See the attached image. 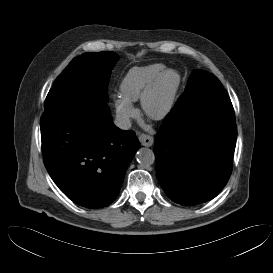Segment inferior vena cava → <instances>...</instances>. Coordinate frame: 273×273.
<instances>
[{"mask_svg": "<svg viewBox=\"0 0 273 273\" xmlns=\"http://www.w3.org/2000/svg\"><path fill=\"white\" fill-rule=\"evenodd\" d=\"M115 126L122 130H128L131 128V121L128 116L117 115L114 120Z\"/></svg>", "mask_w": 273, "mask_h": 273, "instance_id": "602c4592", "label": "inferior vena cava"}]
</instances>
